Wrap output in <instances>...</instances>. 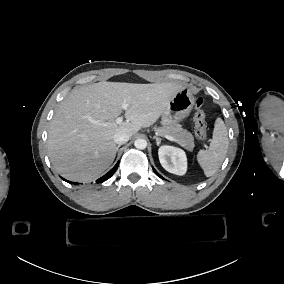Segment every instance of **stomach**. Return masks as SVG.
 Wrapping results in <instances>:
<instances>
[{"label":"stomach","mask_w":284,"mask_h":284,"mask_svg":"<svg viewBox=\"0 0 284 284\" xmlns=\"http://www.w3.org/2000/svg\"><path fill=\"white\" fill-rule=\"evenodd\" d=\"M194 106V97L188 89L180 91L170 102L162 117L163 127H168L169 122L179 123L185 120Z\"/></svg>","instance_id":"1"}]
</instances>
